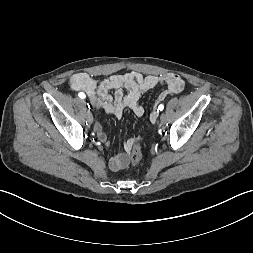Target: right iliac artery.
Returning a JSON list of instances; mask_svg holds the SVG:
<instances>
[{"label":"right iliac artery","mask_w":253,"mask_h":253,"mask_svg":"<svg viewBox=\"0 0 253 253\" xmlns=\"http://www.w3.org/2000/svg\"><path fill=\"white\" fill-rule=\"evenodd\" d=\"M78 96L82 99L86 98V95L83 92H80ZM90 108V107H89Z\"/></svg>","instance_id":"1"}]
</instances>
